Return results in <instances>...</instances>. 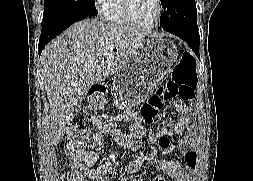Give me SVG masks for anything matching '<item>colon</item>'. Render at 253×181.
<instances>
[{
    "instance_id": "obj_1",
    "label": "colon",
    "mask_w": 253,
    "mask_h": 181,
    "mask_svg": "<svg viewBox=\"0 0 253 181\" xmlns=\"http://www.w3.org/2000/svg\"><path fill=\"white\" fill-rule=\"evenodd\" d=\"M197 83L196 64L194 58L184 52L180 63L174 68L172 76L145 103L142 118L151 122L158 114L164 103L179 97L185 102H191ZM100 126L97 119L84 110L76 111L66 129L68 140L67 149L84 147L94 148L98 144ZM139 160H144L140 157ZM64 181H80L72 174L66 175Z\"/></svg>"
}]
</instances>
